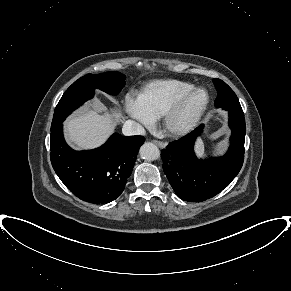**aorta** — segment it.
Segmentation results:
<instances>
[{
    "mask_svg": "<svg viewBox=\"0 0 291 291\" xmlns=\"http://www.w3.org/2000/svg\"><path fill=\"white\" fill-rule=\"evenodd\" d=\"M139 152H140L141 157L148 161H153L160 158V150L155 144L151 142L144 143L141 146Z\"/></svg>",
    "mask_w": 291,
    "mask_h": 291,
    "instance_id": "1",
    "label": "aorta"
}]
</instances>
